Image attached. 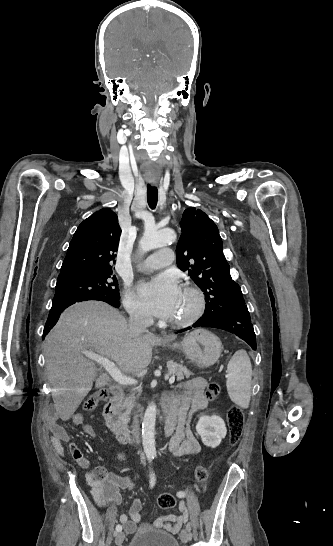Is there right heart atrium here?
Wrapping results in <instances>:
<instances>
[{
  "mask_svg": "<svg viewBox=\"0 0 333 546\" xmlns=\"http://www.w3.org/2000/svg\"><path fill=\"white\" fill-rule=\"evenodd\" d=\"M124 306L134 320L141 322H149L151 320L146 310L129 290H126L124 293Z\"/></svg>",
  "mask_w": 333,
  "mask_h": 546,
  "instance_id": "d8ad5b80",
  "label": "right heart atrium"
}]
</instances>
